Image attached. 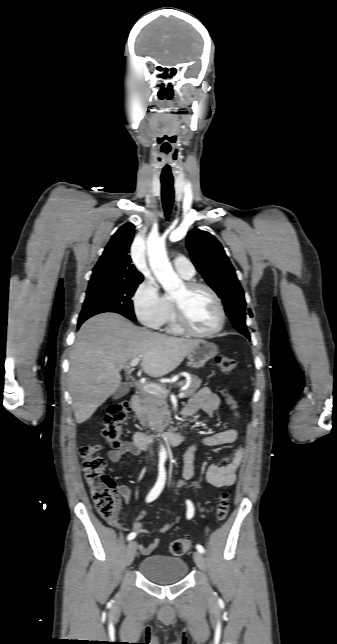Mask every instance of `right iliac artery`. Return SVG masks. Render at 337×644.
Instances as JSON below:
<instances>
[{
    "label": "right iliac artery",
    "instance_id": "1",
    "mask_svg": "<svg viewBox=\"0 0 337 644\" xmlns=\"http://www.w3.org/2000/svg\"><path fill=\"white\" fill-rule=\"evenodd\" d=\"M165 481H166V471H165V467H164V460L161 459L159 461L158 479H157L154 487L151 489V491L149 492L148 496L146 497V502H151V501L155 500L159 496V494L161 493V491L164 488ZM135 537H136V533L132 532V533H130L128 535L127 540H132Z\"/></svg>",
    "mask_w": 337,
    "mask_h": 644
}]
</instances>
